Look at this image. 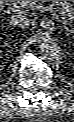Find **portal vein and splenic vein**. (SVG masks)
<instances>
[{
  "label": "portal vein and splenic vein",
  "mask_w": 74,
  "mask_h": 122,
  "mask_svg": "<svg viewBox=\"0 0 74 122\" xmlns=\"http://www.w3.org/2000/svg\"><path fill=\"white\" fill-rule=\"evenodd\" d=\"M32 5V3H29V1H22L21 4H9V7L13 11H19L21 9H25L26 5ZM35 8L44 10V11H50L54 17L58 16V10H54V8L51 5L45 6V5H39L36 6Z\"/></svg>",
  "instance_id": "portal-vein-and-splenic-vein-1"
}]
</instances>
